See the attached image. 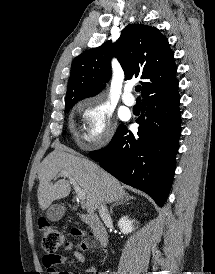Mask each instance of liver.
<instances>
[{
	"mask_svg": "<svg viewBox=\"0 0 215 274\" xmlns=\"http://www.w3.org/2000/svg\"><path fill=\"white\" fill-rule=\"evenodd\" d=\"M61 171L67 172L86 193L85 207L92 214L100 203H112L128 196L120 182L109 173L86 158L69 152L66 148H56L40 164L38 169V202L42 210L54 200L66 198L71 191L67 180L55 184L52 180Z\"/></svg>",
	"mask_w": 215,
	"mask_h": 274,
	"instance_id": "6515ba94",
	"label": "liver"
}]
</instances>
